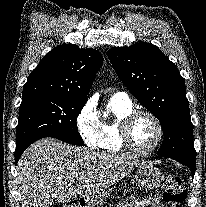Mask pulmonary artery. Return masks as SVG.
<instances>
[{"instance_id": "pulmonary-artery-1", "label": "pulmonary artery", "mask_w": 206, "mask_h": 207, "mask_svg": "<svg viewBox=\"0 0 206 207\" xmlns=\"http://www.w3.org/2000/svg\"><path fill=\"white\" fill-rule=\"evenodd\" d=\"M113 97H116V98L123 100V101L130 102L129 97L125 92H117L113 95Z\"/></svg>"}]
</instances>
